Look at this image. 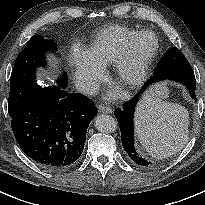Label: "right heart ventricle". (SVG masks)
I'll return each mask as SVG.
<instances>
[{
  "label": "right heart ventricle",
  "instance_id": "1",
  "mask_svg": "<svg viewBox=\"0 0 205 205\" xmlns=\"http://www.w3.org/2000/svg\"><path fill=\"white\" fill-rule=\"evenodd\" d=\"M137 33V31L123 26H110L97 34L89 55L99 65L113 63L126 52Z\"/></svg>",
  "mask_w": 205,
  "mask_h": 205
}]
</instances>
